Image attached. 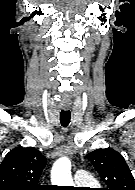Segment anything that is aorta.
Instances as JSON below:
<instances>
[{
  "instance_id": "obj_1",
  "label": "aorta",
  "mask_w": 135,
  "mask_h": 190,
  "mask_svg": "<svg viewBox=\"0 0 135 190\" xmlns=\"http://www.w3.org/2000/svg\"><path fill=\"white\" fill-rule=\"evenodd\" d=\"M52 182L58 186H73L71 162L67 157L58 159L52 168Z\"/></svg>"
}]
</instances>
